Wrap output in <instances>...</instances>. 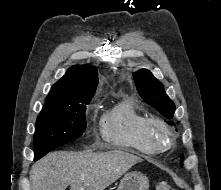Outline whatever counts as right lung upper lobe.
Masks as SVG:
<instances>
[{"instance_id": "right-lung-upper-lobe-1", "label": "right lung upper lobe", "mask_w": 221, "mask_h": 190, "mask_svg": "<svg viewBox=\"0 0 221 190\" xmlns=\"http://www.w3.org/2000/svg\"><path fill=\"white\" fill-rule=\"evenodd\" d=\"M97 85L96 67L89 64L74 65L52 86L44 107H72L90 100L96 92Z\"/></svg>"}]
</instances>
